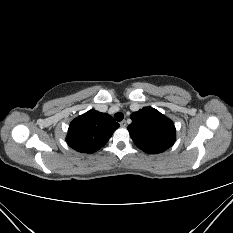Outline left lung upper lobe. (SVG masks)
<instances>
[{
	"label": "left lung upper lobe",
	"mask_w": 233,
	"mask_h": 233,
	"mask_svg": "<svg viewBox=\"0 0 233 233\" xmlns=\"http://www.w3.org/2000/svg\"><path fill=\"white\" fill-rule=\"evenodd\" d=\"M128 131L138 148L157 154L170 148L176 139L174 123L152 107H144L131 114Z\"/></svg>",
	"instance_id": "5c2ea615"
}]
</instances>
